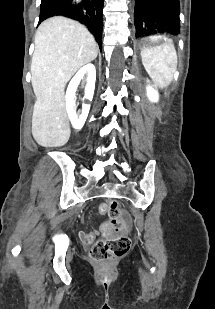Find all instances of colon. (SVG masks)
<instances>
[{
  "mask_svg": "<svg viewBox=\"0 0 215 309\" xmlns=\"http://www.w3.org/2000/svg\"><path fill=\"white\" fill-rule=\"evenodd\" d=\"M110 215L113 219L120 217L119 210L115 207L111 208ZM115 227L121 229L123 222L116 220L114 221ZM129 249V241L124 236H119L111 239H101L97 241L91 250L92 256L99 261H105L115 256L121 255L127 252Z\"/></svg>",
  "mask_w": 215,
  "mask_h": 309,
  "instance_id": "5ec220e1",
  "label": "colon"
}]
</instances>
